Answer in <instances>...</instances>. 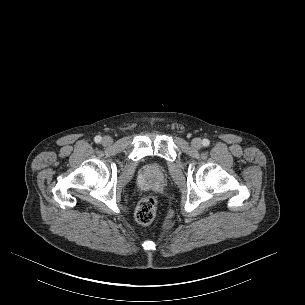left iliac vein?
Instances as JSON below:
<instances>
[{"mask_svg":"<svg viewBox=\"0 0 305 305\" xmlns=\"http://www.w3.org/2000/svg\"><path fill=\"white\" fill-rule=\"evenodd\" d=\"M191 145L194 149H200L202 147V141L200 138H194Z\"/></svg>","mask_w":305,"mask_h":305,"instance_id":"1","label":"left iliac vein"}]
</instances>
